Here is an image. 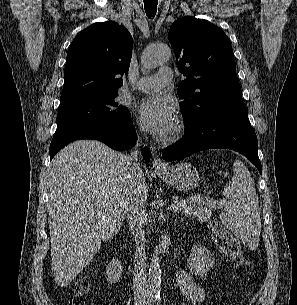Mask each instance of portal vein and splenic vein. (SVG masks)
<instances>
[{
	"label": "portal vein and splenic vein",
	"mask_w": 297,
	"mask_h": 305,
	"mask_svg": "<svg viewBox=\"0 0 297 305\" xmlns=\"http://www.w3.org/2000/svg\"><path fill=\"white\" fill-rule=\"evenodd\" d=\"M212 204H213L214 207H216V206H218V205H220V204H222V203L217 204L216 202H213ZM179 206H181V203H180V202H176V203H174V204L171 205V209H172L173 211H177V210L179 209Z\"/></svg>",
	"instance_id": "1"
}]
</instances>
